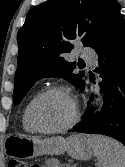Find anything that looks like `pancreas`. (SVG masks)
I'll list each match as a JSON object with an SVG mask.
<instances>
[{"mask_svg": "<svg viewBox=\"0 0 125 167\" xmlns=\"http://www.w3.org/2000/svg\"><path fill=\"white\" fill-rule=\"evenodd\" d=\"M64 167H72V166H70V165H65Z\"/></svg>", "mask_w": 125, "mask_h": 167, "instance_id": "obj_1", "label": "pancreas"}]
</instances>
